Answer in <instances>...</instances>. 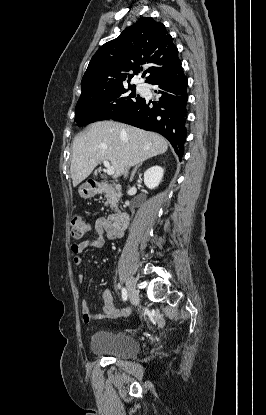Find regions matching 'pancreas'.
<instances>
[{
	"label": "pancreas",
	"instance_id": "1",
	"mask_svg": "<svg viewBox=\"0 0 266 415\" xmlns=\"http://www.w3.org/2000/svg\"><path fill=\"white\" fill-rule=\"evenodd\" d=\"M104 197L106 198V205L110 206L111 211H117V202H118V192L115 188L108 186L104 190Z\"/></svg>",
	"mask_w": 266,
	"mask_h": 415
}]
</instances>
